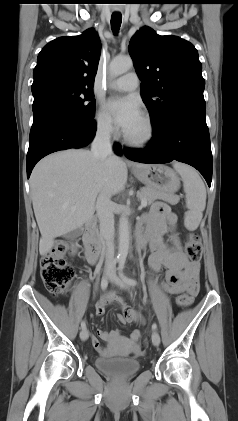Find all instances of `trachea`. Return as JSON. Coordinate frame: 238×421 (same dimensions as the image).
I'll return each mask as SVG.
<instances>
[{"label":"trachea","instance_id":"1","mask_svg":"<svg viewBox=\"0 0 238 421\" xmlns=\"http://www.w3.org/2000/svg\"><path fill=\"white\" fill-rule=\"evenodd\" d=\"M122 22V15L120 13H113L111 16V27L115 34L118 33Z\"/></svg>","mask_w":238,"mask_h":421}]
</instances>
